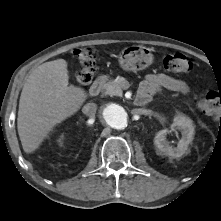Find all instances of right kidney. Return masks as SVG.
Instances as JSON below:
<instances>
[{
  "label": "right kidney",
  "instance_id": "obj_1",
  "mask_svg": "<svg viewBox=\"0 0 221 221\" xmlns=\"http://www.w3.org/2000/svg\"><path fill=\"white\" fill-rule=\"evenodd\" d=\"M58 142H59L60 144H62V139H59Z\"/></svg>",
  "mask_w": 221,
  "mask_h": 221
}]
</instances>
